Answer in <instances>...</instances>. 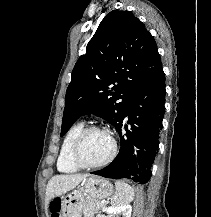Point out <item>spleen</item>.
<instances>
[{"mask_svg":"<svg viewBox=\"0 0 211 217\" xmlns=\"http://www.w3.org/2000/svg\"><path fill=\"white\" fill-rule=\"evenodd\" d=\"M115 187L116 192L112 198V203L114 205L128 204L134 199L135 192L129 184L123 181H116Z\"/></svg>","mask_w":211,"mask_h":217,"instance_id":"3e777b00","label":"spleen"}]
</instances>
